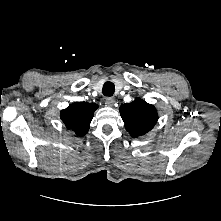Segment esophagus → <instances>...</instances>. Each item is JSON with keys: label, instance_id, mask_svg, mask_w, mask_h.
Listing matches in <instances>:
<instances>
[{"label": "esophagus", "instance_id": "obj_1", "mask_svg": "<svg viewBox=\"0 0 221 221\" xmlns=\"http://www.w3.org/2000/svg\"><path fill=\"white\" fill-rule=\"evenodd\" d=\"M115 99L113 97H107L106 98V104L110 107L114 106Z\"/></svg>", "mask_w": 221, "mask_h": 221}]
</instances>
